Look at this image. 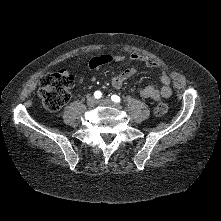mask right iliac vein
Here are the masks:
<instances>
[{"label": "right iliac vein", "mask_w": 221, "mask_h": 221, "mask_svg": "<svg viewBox=\"0 0 221 221\" xmlns=\"http://www.w3.org/2000/svg\"><path fill=\"white\" fill-rule=\"evenodd\" d=\"M87 104H88V106H90V107H94V106L97 104V101H96V99H95L94 97L89 96V97L87 98Z\"/></svg>", "instance_id": "1"}]
</instances>
